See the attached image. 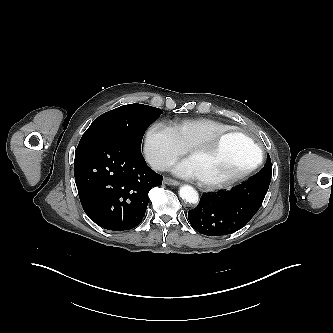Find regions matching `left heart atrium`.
I'll list each match as a JSON object with an SVG mask.
<instances>
[{
	"label": "left heart atrium",
	"mask_w": 333,
	"mask_h": 333,
	"mask_svg": "<svg viewBox=\"0 0 333 333\" xmlns=\"http://www.w3.org/2000/svg\"><path fill=\"white\" fill-rule=\"evenodd\" d=\"M174 172L179 176L195 178L197 177L196 171L190 159L183 160L174 167Z\"/></svg>",
	"instance_id": "1"
}]
</instances>
